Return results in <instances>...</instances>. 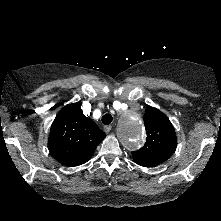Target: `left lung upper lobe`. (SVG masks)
Wrapping results in <instances>:
<instances>
[{
  "mask_svg": "<svg viewBox=\"0 0 221 221\" xmlns=\"http://www.w3.org/2000/svg\"><path fill=\"white\" fill-rule=\"evenodd\" d=\"M144 124L145 145L132 152V156L138 165L152 167L166 161L175 152L176 134L168 117L151 106L146 107Z\"/></svg>",
  "mask_w": 221,
  "mask_h": 221,
  "instance_id": "obj_1",
  "label": "left lung upper lobe"
}]
</instances>
